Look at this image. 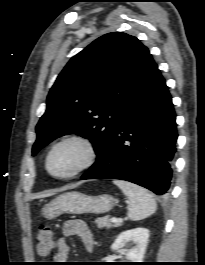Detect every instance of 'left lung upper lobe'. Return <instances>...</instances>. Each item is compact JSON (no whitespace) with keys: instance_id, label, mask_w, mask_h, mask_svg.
I'll return each instance as SVG.
<instances>
[{"instance_id":"5c2ea615","label":"left lung upper lobe","mask_w":205,"mask_h":265,"mask_svg":"<svg viewBox=\"0 0 205 265\" xmlns=\"http://www.w3.org/2000/svg\"><path fill=\"white\" fill-rule=\"evenodd\" d=\"M155 66L148 48L134 36L113 32L96 39L68 62L51 88L32 155L74 133L89 139L98 157Z\"/></svg>"}]
</instances>
